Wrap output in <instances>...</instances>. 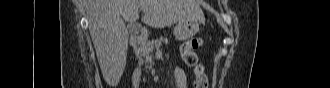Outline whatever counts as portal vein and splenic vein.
<instances>
[{"instance_id":"1","label":"portal vein and splenic vein","mask_w":330,"mask_h":88,"mask_svg":"<svg viewBox=\"0 0 330 88\" xmlns=\"http://www.w3.org/2000/svg\"><path fill=\"white\" fill-rule=\"evenodd\" d=\"M144 12L146 11V9H142Z\"/></svg>"}]
</instances>
